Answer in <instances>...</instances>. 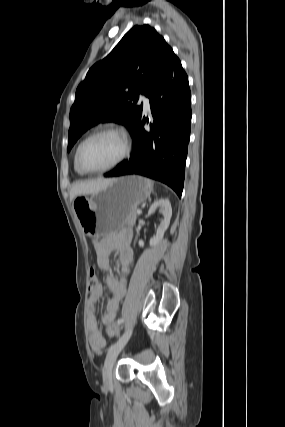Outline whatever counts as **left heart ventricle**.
Masks as SVG:
<instances>
[{"instance_id": "1", "label": "left heart ventricle", "mask_w": 285, "mask_h": 427, "mask_svg": "<svg viewBox=\"0 0 285 427\" xmlns=\"http://www.w3.org/2000/svg\"><path fill=\"white\" fill-rule=\"evenodd\" d=\"M124 141L114 133L101 134L83 148L81 160L88 169H100L112 164L122 154Z\"/></svg>"}]
</instances>
